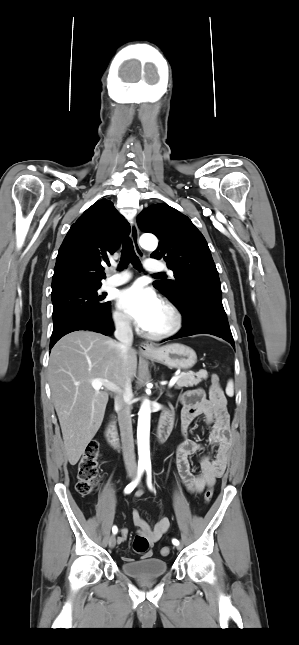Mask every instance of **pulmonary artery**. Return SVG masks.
Returning <instances> with one entry per match:
<instances>
[{
	"instance_id": "obj_1",
	"label": "pulmonary artery",
	"mask_w": 299,
	"mask_h": 645,
	"mask_svg": "<svg viewBox=\"0 0 299 645\" xmlns=\"http://www.w3.org/2000/svg\"><path fill=\"white\" fill-rule=\"evenodd\" d=\"M144 268L148 272H159V271L167 270L166 266L162 262L153 260V259L146 260L144 264ZM169 272L171 273V271ZM130 278H131V275L127 271L115 273L106 278L103 287L104 288L117 287L129 281Z\"/></svg>"
}]
</instances>
